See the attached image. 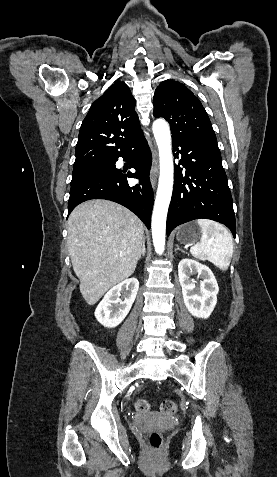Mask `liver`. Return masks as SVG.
Returning a JSON list of instances; mask_svg holds the SVG:
<instances>
[{
  "label": "liver",
  "instance_id": "liver-1",
  "mask_svg": "<svg viewBox=\"0 0 277 477\" xmlns=\"http://www.w3.org/2000/svg\"><path fill=\"white\" fill-rule=\"evenodd\" d=\"M143 239L140 219L115 202L90 200L72 211L67 246L88 305L133 274Z\"/></svg>",
  "mask_w": 277,
  "mask_h": 477
}]
</instances>
